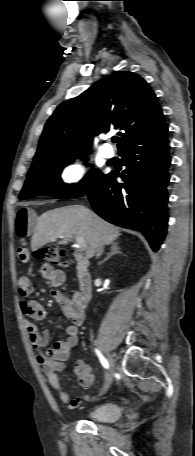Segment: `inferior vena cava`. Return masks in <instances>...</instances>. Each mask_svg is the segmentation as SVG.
<instances>
[{"label":"inferior vena cava","mask_w":195,"mask_h":456,"mask_svg":"<svg viewBox=\"0 0 195 456\" xmlns=\"http://www.w3.org/2000/svg\"><path fill=\"white\" fill-rule=\"evenodd\" d=\"M101 253H102V245H100V247L98 248L96 256L99 257L101 255Z\"/></svg>","instance_id":"obj_1"}]
</instances>
